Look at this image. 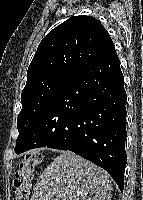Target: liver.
I'll use <instances>...</instances> for the list:
<instances>
[{"mask_svg": "<svg viewBox=\"0 0 143 200\" xmlns=\"http://www.w3.org/2000/svg\"><path fill=\"white\" fill-rule=\"evenodd\" d=\"M112 190L103 169L63 151L39 176L31 200H111Z\"/></svg>", "mask_w": 143, "mask_h": 200, "instance_id": "liver-1", "label": "liver"}]
</instances>
